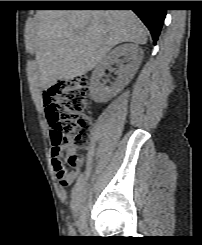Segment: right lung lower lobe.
I'll use <instances>...</instances> for the list:
<instances>
[{
	"label": "right lung lower lobe",
	"instance_id": "1",
	"mask_svg": "<svg viewBox=\"0 0 202 245\" xmlns=\"http://www.w3.org/2000/svg\"><path fill=\"white\" fill-rule=\"evenodd\" d=\"M83 7H122L130 6L147 26L152 35L154 44L156 43L163 22L166 10L159 6L157 1H131L130 3L110 2V1H84L80 4Z\"/></svg>",
	"mask_w": 202,
	"mask_h": 245
}]
</instances>
